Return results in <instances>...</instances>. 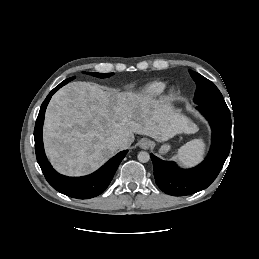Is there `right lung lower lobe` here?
Masks as SVG:
<instances>
[{
	"label": "right lung lower lobe",
	"mask_w": 259,
	"mask_h": 259,
	"mask_svg": "<svg viewBox=\"0 0 259 259\" xmlns=\"http://www.w3.org/2000/svg\"><path fill=\"white\" fill-rule=\"evenodd\" d=\"M64 85V83H60L55 87L41 105L34 129L36 158L46 180L58 192L78 199L93 198L101 194L108 187L128 150L119 152L96 172L84 177L63 176L52 168L44 152L42 128L45 110L52 95Z\"/></svg>",
	"instance_id": "1"
}]
</instances>
